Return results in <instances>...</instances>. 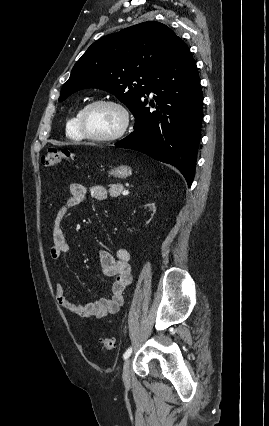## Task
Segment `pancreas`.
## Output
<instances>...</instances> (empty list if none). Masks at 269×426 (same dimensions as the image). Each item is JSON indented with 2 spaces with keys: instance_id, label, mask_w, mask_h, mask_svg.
I'll use <instances>...</instances> for the list:
<instances>
[{
  "instance_id": "1",
  "label": "pancreas",
  "mask_w": 269,
  "mask_h": 426,
  "mask_svg": "<svg viewBox=\"0 0 269 426\" xmlns=\"http://www.w3.org/2000/svg\"><path fill=\"white\" fill-rule=\"evenodd\" d=\"M109 187V194L111 197L120 196L124 190V186L122 184H111Z\"/></svg>"
}]
</instances>
